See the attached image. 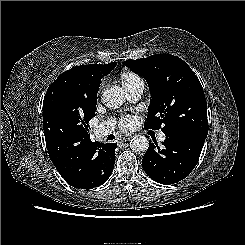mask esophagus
Segmentation results:
<instances>
[{"instance_id":"1","label":"esophagus","mask_w":245,"mask_h":245,"mask_svg":"<svg viewBox=\"0 0 245 245\" xmlns=\"http://www.w3.org/2000/svg\"><path fill=\"white\" fill-rule=\"evenodd\" d=\"M131 139H132V136H127V137H124V138H123V140H125V142H126V141H130Z\"/></svg>"}]
</instances>
